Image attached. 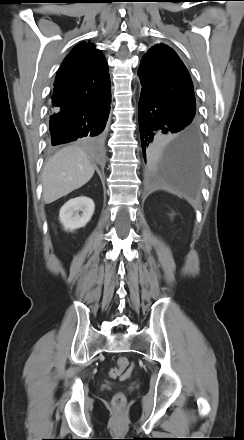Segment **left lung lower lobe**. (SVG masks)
<instances>
[{
	"label": "left lung lower lobe",
	"mask_w": 244,
	"mask_h": 440,
	"mask_svg": "<svg viewBox=\"0 0 244 440\" xmlns=\"http://www.w3.org/2000/svg\"><path fill=\"white\" fill-rule=\"evenodd\" d=\"M138 113L142 151L148 170L153 174L173 175L183 192L195 193L202 171L198 127L145 90H141Z\"/></svg>",
	"instance_id": "1"
}]
</instances>
